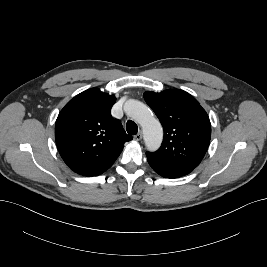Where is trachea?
I'll return each mask as SVG.
<instances>
[{"label":"trachea","mask_w":267,"mask_h":267,"mask_svg":"<svg viewBox=\"0 0 267 267\" xmlns=\"http://www.w3.org/2000/svg\"><path fill=\"white\" fill-rule=\"evenodd\" d=\"M126 130L128 134L135 135L138 132V126L135 122L128 120L126 123Z\"/></svg>","instance_id":"3493384b"}]
</instances>
